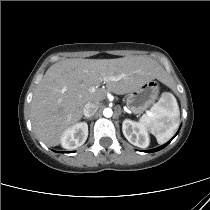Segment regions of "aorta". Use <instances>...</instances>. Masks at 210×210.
Returning a JSON list of instances; mask_svg holds the SVG:
<instances>
[{
  "mask_svg": "<svg viewBox=\"0 0 210 210\" xmlns=\"http://www.w3.org/2000/svg\"><path fill=\"white\" fill-rule=\"evenodd\" d=\"M112 114H113V111H112L111 108H105V109L103 110V115H104L105 117H107V118L111 117Z\"/></svg>",
  "mask_w": 210,
  "mask_h": 210,
  "instance_id": "aorta-1",
  "label": "aorta"
}]
</instances>
